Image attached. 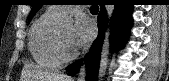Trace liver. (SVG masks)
<instances>
[{
  "label": "liver",
  "mask_w": 169,
  "mask_h": 81,
  "mask_svg": "<svg viewBox=\"0 0 169 81\" xmlns=\"http://www.w3.org/2000/svg\"><path fill=\"white\" fill-rule=\"evenodd\" d=\"M26 81H72V78L57 72L40 71L35 66H26Z\"/></svg>",
  "instance_id": "obj_1"
}]
</instances>
